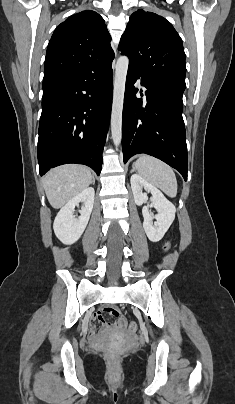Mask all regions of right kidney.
I'll use <instances>...</instances> for the list:
<instances>
[{"mask_svg":"<svg viewBox=\"0 0 235 404\" xmlns=\"http://www.w3.org/2000/svg\"><path fill=\"white\" fill-rule=\"evenodd\" d=\"M94 188L88 187L72 198L62 207L54 221V232L56 237L64 244L75 243L83 234L94 204ZM83 203L78 218L74 215L75 206Z\"/></svg>","mask_w":235,"mask_h":404,"instance_id":"right-kidney-1","label":"right kidney"}]
</instances>
